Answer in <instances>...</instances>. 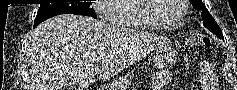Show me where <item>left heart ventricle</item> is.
Returning a JSON list of instances; mask_svg holds the SVG:
<instances>
[{
    "label": "left heart ventricle",
    "mask_w": 237,
    "mask_h": 90,
    "mask_svg": "<svg viewBox=\"0 0 237 90\" xmlns=\"http://www.w3.org/2000/svg\"><path fill=\"white\" fill-rule=\"evenodd\" d=\"M149 6H157L151 15L159 23L173 25L179 20L181 11L177 0H150Z\"/></svg>",
    "instance_id": "1"
}]
</instances>
